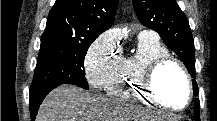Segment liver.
Returning <instances> with one entry per match:
<instances>
[{
  "mask_svg": "<svg viewBox=\"0 0 217 121\" xmlns=\"http://www.w3.org/2000/svg\"><path fill=\"white\" fill-rule=\"evenodd\" d=\"M144 113L136 107L84 91L74 85L52 90L41 104L36 121H137ZM152 121H172L157 114Z\"/></svg>",
  "mask_w": 217,
  "mask_h": 121,
  "instance_id": "1",
  "label": "liver"
}]
</instances>
